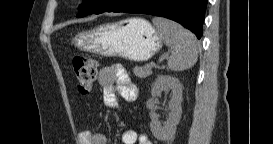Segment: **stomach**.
Instances as JSON below:
<instances>
[{
	"instance_id": "stomach-1",
	"label": "stomach",
	"mask_w": 273,
	"mask_h": 144,
	"mask_svg": "<svg viewBox=\"0 0 273 144\" xmlns=\"http://www.w3.org/2000/svg\"><path fill=\"white\" fill-rule=\"evenodd\" d=\"M70 44L97 55L141 62L149 60L161 49L162 40L147 20L136 17L81 32Z\"/></svg>"
}]
</instances>
